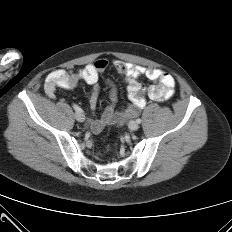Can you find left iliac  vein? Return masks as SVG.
I'll return each instance as SVG.
<instances>
[{
	"label": "left iliac vein",
	"instance_id": "left-iliac-vein-1",
	"mask_svg": "<svg viewBox=\"0 0 232 232\" xmlns=\"http://www.w3.org/2000/svg\"><path fill=\"white\" fill-rule=\"evenodd\" d=\"M129 128L132 130V131H136L138 128H139V125L136 121H131L129 123Z\"/></svg>",
	"mask_w": 232,
	"mask_h": 232
}]
</instances>
